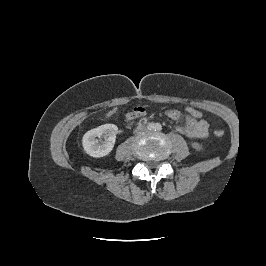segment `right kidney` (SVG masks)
<instances>
[{
	"label": "right kidney",
	"instance_id": "1",
	"mask_svg": "<svg viewBox=\"0 0 266 266\" xmlns=\"http://www.w3.org/2000/svg\"><path fill=\"white\" fill-rule=\"evenodd\" d=\"M118 127L114 124H104L97 128L91 129L82 139L85 152L91 157H104L108 155L115 144ZM103 137L105 140L99 144L98 138Z\"/></svg>",
	"mask_w": 266,
	"mask_h": 266
}]
</instances>
